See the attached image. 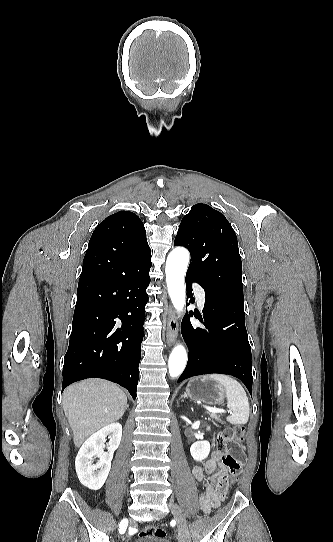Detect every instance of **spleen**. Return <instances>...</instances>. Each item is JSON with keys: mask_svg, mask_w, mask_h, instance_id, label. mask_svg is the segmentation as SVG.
<instances>
[{"mask_svg": "<svg viewBox=\"0 0 333 542\" xmlns=\"http://www.w3.org/2000/svg\"><path fill=\"white\" fill-rule=\"evenodd\" d=\"M206 378L218 382L225 394L227 408H229V412H232L231 416H227L226 422L233 424V426L247 424L250 416V406L243 386L234 378L224 376V374H209Z\"/></svg>", "mask_w": 333, "mask_h": 542, "instance_id": "spleen-1", "label": "spleen"}]
</instances>
